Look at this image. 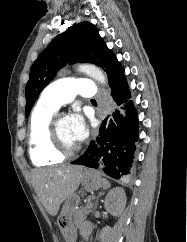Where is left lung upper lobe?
Returning <instances> with one entry per match:
<instances>
[{"mask_svg": "<svg viewBox=\"0 0 187 242\" xmlns=\"http://www.w3.org/2000/svg\"><path fill=\"white\" fill-rule=\"evenodd\" d=\"M68 62L92 63L101 67L108 75L109 85L124 73L123 67L106 47L93 24H74L55 37L31 67L25 88L27 115L40 92Z\"/></svg>", "mask_w": 187, "mask_h": 242, "instance_id": "obj_1", "label": "left lung upper lobe"}]
</instances>
